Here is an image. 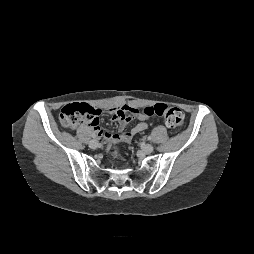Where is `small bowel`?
Listing matches in <instances>:
<instances>
[{
	"instance_id": "1",
	"label": "small bowel",
	"mask_w": 254,
	"mask_h": 254,
	"mask_svg": "<svg viewBox=\"0 0 254 254\" xmlns=\"http://www.w3.org/2000/svg\"><path fill=\"white\" fill-rule=\"evenodd\" d=\"M100 114V110H98ZM114 121L118 124V133H110L103 131L100 127L99 118L90 123L93 131L99 136L105 143H119L122 139H126L128 142L136 134L146 130L148 128V117L139 111L138 108L127 105L123 101L118 102L111 108L106 110ZM137 119L138 122L127 132L124 131L125 127L132 119Z\"/></svg>"
}]
</instances>
